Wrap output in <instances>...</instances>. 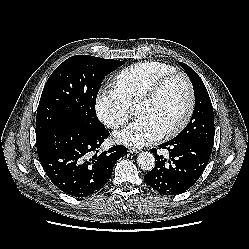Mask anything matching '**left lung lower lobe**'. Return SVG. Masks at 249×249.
I'll list each match as a JSON object with an SVG mask.
<instances>
[{
  "label": "left lung lower lobe",
  "mask_w": 249,
  "mask_h": 249,
  "mask_svg": "<svg viewBox=\"0 0 249 249\" xmlns=\"http://www.w3.org/2000/svg\"><path fill=\"white\" fill-rule=\"evenodd\" d=\"M159 147L169 151V160L155 154L156 149H151L157 162L144 176L145 182L162 194L176 195L188 190L198 180L213 146L199 141L180 142L173 138Z\"/></svg>",
  "instance_id": "1"
}]
</instances>
